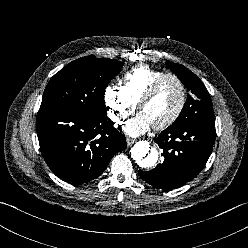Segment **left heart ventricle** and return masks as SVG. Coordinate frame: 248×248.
Wrapping results in <instances>:
<instances>
[{"label":"left heart ventricle","mask_w":248,"mask_h":248,"mask_svg":"<svg viewBox=\"0 0 248 248\" xmlns=\"http://www.w3.org/2000/svg\"><path fill=\"white\" fill-rule=\"evenodd\" d=\"M181 93L178 83L165 79L158 87L154 96L142 107L143 113L151 125H156L170 117L180 103Z\"/></svg>","instance_id":"b2bd125f"}]
</instances>
